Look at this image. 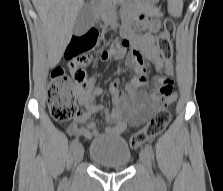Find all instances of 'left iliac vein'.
Instances as JSON below:
<instances>
[{
  "label": "left iliac vein",
  "instance_id": "left-iliac-vein-1",
  "mask_svg": "<svg viewBox=\"0 0 223 191\" xmlns=\"http://www.w3.org/2000/svg\"><path fill=\"white\" fill-rule=\"evenodd\" d=\"M140 161L142 164H144L147 167V169L149 170L151 174V177L154 178V175L152 172L151 159L148 152L145 149L141 150L140 152Z\"/></svg>",
  "mask_w": 223,
  "mask_h": 191
}]
</instances>
